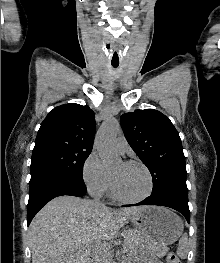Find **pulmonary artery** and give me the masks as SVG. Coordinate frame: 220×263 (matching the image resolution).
<instances>
[{
    "label": "pulmonary artery",
    "instance_id": "obj_1",
    "mask_svg": "<svg viewBox=\"0 0 220 263\" xmlns=\"http://www.w3.org/2000/svg\"><path fill=\"white\" fill-rule=\"evenodd\" d=\"M114 148L118 153H124L128 149V142L123 136H119L114 141Z\"/></svg>",
    "mask_w": 220,
    "mask_h": 263
}]
</instances>
